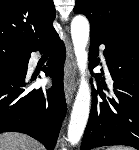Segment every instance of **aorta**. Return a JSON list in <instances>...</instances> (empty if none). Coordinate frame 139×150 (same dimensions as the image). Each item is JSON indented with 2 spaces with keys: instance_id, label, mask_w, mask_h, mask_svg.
<instances>
[{
  "instance_id": "1",
  "label": "aorta",
  "mask_w": 139,
  "mask_h": 150,
  "mask_svg": "<svg viewBox=\"0 0 139 150\" xmlns=\"http://www.w3.org/2000/svg\"><path fill=\"white\" fill-rule=\"evenodd\" d=\"M89 31L88 19L83 15H76L71 22V37L77 58V65L82 76L68 126V140L72 145L80 141L90 112L91 94L88 81L85 78V70L88 67L86 46L88 44Z\"/></svg>"
}]
</instances>
